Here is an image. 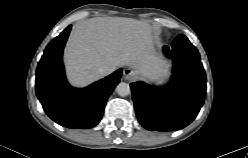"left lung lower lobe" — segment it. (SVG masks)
Returning a JSON list of instances; mask_svg holds the SVG:
<instances>
[{
	"label": "left lung lower lobe",
	"instance_id": "obj_1",
	"mask_svg": "<svg viewBox=\"0 0 248 158\" xmlns=\"http://www.w3.org/2000/svg\"><path fill=\"white\" fill-rule=\"evenodd\" d=\"M173 60V76L168 85L152 87L131 83L132 97L140 124L147 130L175 131L189 125L204 103L206 75L198 50L190 41H175L164 47Z\"/></svg>",
	"mask_w": 248,
	"mask_h": 158
}]
</instances>
